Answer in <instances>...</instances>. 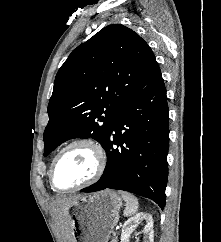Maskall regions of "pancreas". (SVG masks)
<instances>
[{
    "mask_svg": "<svg viewBox=\"0 0 221 242\" xmlns=\"http://www.w3.org/2000/svg\"><path fill=\"white\" fill-rule=\"evenodd\" d=\"M110 242H117V237L112 238Z\"/></svg>",
    "mask_w": 221,
    "mask_h": 242,
    "instance_id": "obj_1",
    "label": "pancreas"
}]
</instances>
